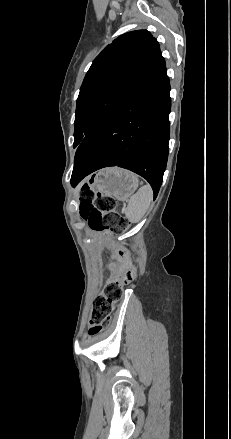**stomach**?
Here are the masks:
<instances>
[{
    "label": "stomach",
    "mask_w": 231,
    "mask_h": 439,
    "mask_svg": "<svg viewBox=\"0 0 231 439\" xmlns=\"http://www.w3.org/2000/svg\"><path fill=\"white\" fill-rule=\"evenodd\" d=\"M91 182L96 192L120 201L128 199L138 187V178L133 173L117 167L99 171Z\"/></svg>",
    "instance_id": "0dacf381"
}]
</instances>
